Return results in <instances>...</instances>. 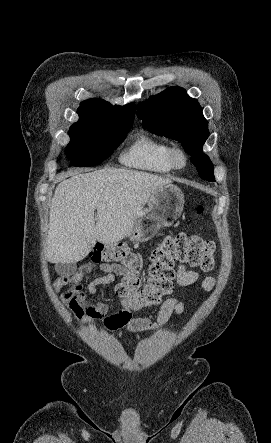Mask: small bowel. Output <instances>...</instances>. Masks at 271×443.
<instances>
[{
  "mask_svg": "<svg viewBox=\"0 0 271 443\" xmlns=\"http://www.w3.org/2000/svg\"><path fill=\"white\" fill-rule=\"evenodd\" d=\"M97 268L103 275L95 278L83 290L82 279L93 269ZM127 271L115 263L85 264L77 272L57 279L53 289L59 292L67 288L60 296L61 303L73 314L75 320L80 324H89L92 320L103 319L108 330L126 329L130 332H145L157 329L165 325L172 314L180 315L183 304L176 298L167 299L161 306L156 320L151 321L142 318H133L130 306L126 299L121 297L122 310L107 316L108 305L97 296L99 286L112 283L116 276H124ZM200 280L198 273L180 266L177 271V283L180 286H189ZM215 285L213 277L202 280V286L210 291Z\"/></svg>",
  "mask_w": 271,
  "mask_h": 443,
  "instance_id": "1",
  "label": "small bowel"
}]
</instances>
